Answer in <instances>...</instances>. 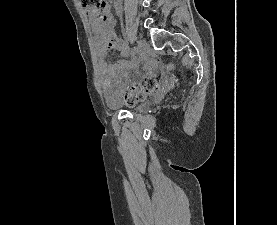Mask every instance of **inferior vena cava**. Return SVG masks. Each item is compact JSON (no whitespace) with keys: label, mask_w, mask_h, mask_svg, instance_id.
Wrapping results in <instances>:
<instances>
[{"label":"inferior vena cava","mask_w":277,"mask_h":225,"mask_svg":"<svg viewBox=\"0 0 277 225\" xmlns=\"http://www.w3.org/2000/svg\"><path fill=\"white\" fill-rule=\"evenodd\" d=\"M119 3H120V0H117V2H116V6H118V5H119Z\"/></svg>","instance_id":"obj_1"}]
</instances>
